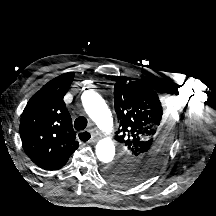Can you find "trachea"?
Masks as SVG:
<instances>
[{"label":"trachea","mask_w":216,"mask_h":216,"mask_svg":"<svg viewBox=\"0 0 216 216\" xmlns=\"http://www.w3.org/2000/svg\"><path fill=\"white\" fill-rule=\"evenodd\" d=\"M87 119L83 116H79L75 121H74V128L78 131L80 130H84L87 126ZM90 138V134L89 133H83L81 136H80V139L82 141H87L89 140Z\"/></svg>","instance_id":"obj_1"}]
</instances>
